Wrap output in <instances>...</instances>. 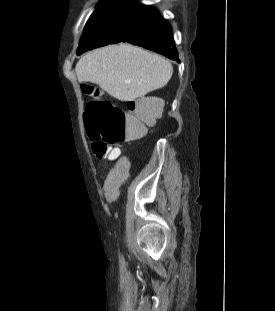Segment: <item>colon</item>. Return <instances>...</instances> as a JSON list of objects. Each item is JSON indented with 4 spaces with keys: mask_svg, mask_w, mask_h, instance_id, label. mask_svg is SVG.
<instances>
[{
    "mask_svg": "<svg viewBox=\"0 0 275 311\" xmlns=\"http://www.w3.org/2000/svg\"><path fill=\"white\" fill-rule=\"evenodd\" d=\"M84 92L95 98L87 105L84 122L88 138L98 159L113 158L117 146L144 135L146 127L160 117V111L150 101L128 103L126 112L111 102L99 99V93L86 86Z\"/></svg>",
    "mask_w": 275,
    "mask_h": 311,
    "instance_id": "colon-1",
    "label": "colon"
}]
</instances>
